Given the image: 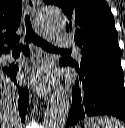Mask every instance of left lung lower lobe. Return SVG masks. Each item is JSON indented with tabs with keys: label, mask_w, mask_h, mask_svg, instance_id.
Wrapping results in <instances>:
<instances>
[{
	"label": "left lung lower lobe",
	"mask_w": 125,
	"mask_h": 128,
	"mask_svg": "<svg viewBox=\"0 0 125 128\" xmlns=\"http://www.w3.org/2000/svg\"><path fill=\"white\" fill-rule=\"evenodd\" d=\"M61 66H70L61 59ZM72 89V107L66 127L94 115H113L125 122V88L122 69L107 68L91 74L78 71Z\"/></svg>",
	"instance_id": "left-lung-lower-lobe-1"
}]
</instances>
